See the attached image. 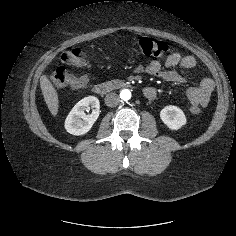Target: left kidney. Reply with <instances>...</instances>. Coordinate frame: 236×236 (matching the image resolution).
<instances>
[{
    "label": "left kidney",
    "mask_w": 236,
    "mask_h": 236,
    "mask_svg": "<svg viewBox=\"0 0 236 236\" xmlns=\"http://www.w3.org/2000/svg\"><path fill=\"white\" fill-rule=\"evenodd\" d=\"M160 118L171 130H178L187 123L184 112L177 106L169 105L160 111Z\"/></svg>",
    "instance_id": "5707ae66"
}]
</instances>
